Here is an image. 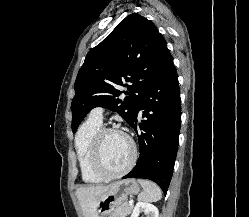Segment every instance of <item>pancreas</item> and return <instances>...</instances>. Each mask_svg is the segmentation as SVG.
I'll list each match as a JSON object with an SVG mask.
<instances>
[{"instance_id": "cf45deb5", "label": "pancreas", "mask_w": 249, "mask_h": 217, "mask_svg": "<svg viewBox=\"0 0 249 217\" xmlns=\"http://www.w3.org/2000/svg\"><path fill=\"white\" fill-rule=\"evenodd\" d=\"M133 210V205H129L127 202H124L118 206L110 215V217H126Z\"/></svg>"}]
</instances>
